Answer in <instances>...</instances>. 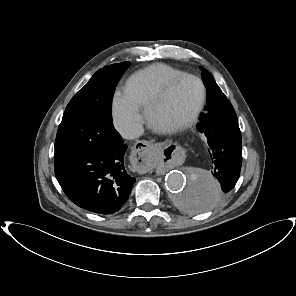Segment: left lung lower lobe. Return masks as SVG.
<instances>
[{
  "label": "left lung lower lobe",
  "mask_w": 296,
  "mask_h": 296,
  "mask_svg": "<svg viewBox=\"0 0 296 296\" xmlns=\"http://www.w3.org/2000/svg\"><path fill=\"white\" fill-rule=\"evenodd\" d=\"M198 131L210 155L212 173L221 186L216 190L192 184L181 202L193 212L207 210L223 199L236 185L242 164L241 132L235 110L226 96L201 114Z\"/></svg>",
  "instance_id": "obj_1"
}]
</instances>
